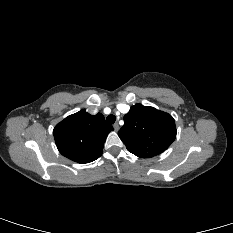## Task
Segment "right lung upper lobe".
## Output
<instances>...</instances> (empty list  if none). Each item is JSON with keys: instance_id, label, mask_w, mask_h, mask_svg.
Returning <instances> with one entry per match:
<instances>
[{"instance_id": "right-lung-upper-lobe-1", "label": "right lung upper lobe", "mask_w": 233, "mask_h": 233, "mask_svg": "<svg viewBox=\"0 0 233 233\" xmlns=\"http://www.w3.org/2000/svg\"><path fill=\"white\" fill-rule=\"evenodd\" d=\"M112 130L101 113L90 115L80 110L58 123L53 135L63 156L84 164L101 156L105 139Z\"/></svg>"}]
</instances>
